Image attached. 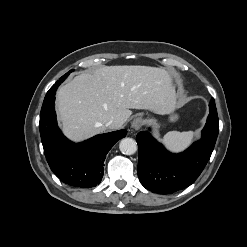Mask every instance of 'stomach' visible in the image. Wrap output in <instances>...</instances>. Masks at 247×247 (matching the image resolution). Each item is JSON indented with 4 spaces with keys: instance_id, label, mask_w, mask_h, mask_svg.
<instances>
[{
    "instance_id": "0dacf381",
    "label": "stomach",
    "mask_w": 247,
    "mask_h": 247,
    "mask_svg": "<svg viewBox=\"0 0 247 247\" xmlns=\"http://www.w3.org/2000/svg\"><path fill=\"white\" fill-rule=\"evenodd\" d=\"M164 113L170 115L169 120L171 122H175L178 120V115L174 113V106L168 108Z\"/></svg>"
}]
</instances>
